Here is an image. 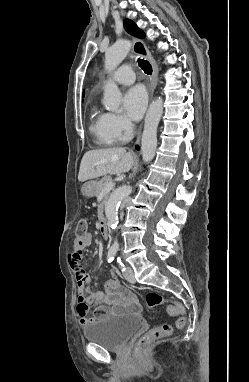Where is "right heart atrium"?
Segmentation results:
<instances>
[{
    "label": "right heart atrium",
    "mask_w": 249,
    "mask_h": 382,
    "mask_svg": "<svg viewBox=\"0 0 249 382\" xmlns=\"http://www.w3.org/2000/svg\"><path fill=\"white\" fill-rule=\"evenodd\" d=\"M107 128L117 141L126 140L133 131V124L124 116L114 113L107 114Z\"/></svg>",
    "instance_id": "right-heart-atrium-1"
}]
</instances>
